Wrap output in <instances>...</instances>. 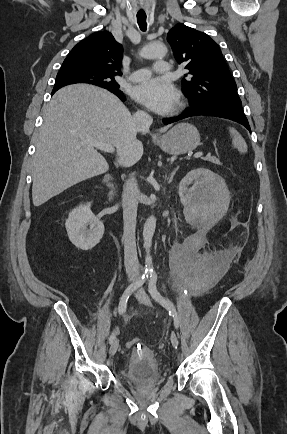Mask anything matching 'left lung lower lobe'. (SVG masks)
Instances as JSON below:
<instances>
[{"instance_id": "obj_1", "label": "left lung lower lobe", "mask_w": 287, "mask_h": 434, "mask_svg": "<svg viewBox=\"0 0 287 434\" xmlns=\"http://www.w3.org/2000/svg\"><path fill=\"white\" fill-rule=\"evenodd\" d=\"M200 115L230 119L242 124L251 132L248 120L243 112L241 103H223L220 105H192L177 117L163 119V123L171 124L187 117Z\"/></svg>"}]
</instances>
